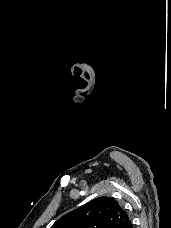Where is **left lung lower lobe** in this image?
I'll return each instance as SVG.
<instances>
[{
	"label": "left lung lower lobe",
	"instance_id": "0a47b994",
	"mask_svg": "<svg viewBox=\"0 0 171 228\" xmlns=\"http://www.w3.org/2000/svg\"><path fill=\"white\" fill-rule=\"evenodd\" d=\"M122 228H133L131 221L128 220V221L122 226Z\"/></svg>",
	"mask_w": 171,
	"mask_h": 228
}]
</instances>
